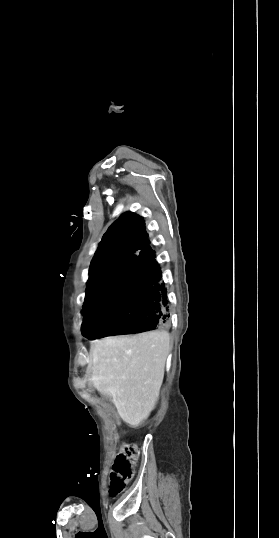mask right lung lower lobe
Returning a JSON list of instances; mask_svg holds the SVG:
<instances>
[{"mask_svg":"<svg viewBox=\"0 0 279 538\" xmlns=\"http://www.w3.org/2000/svg\"><path fill=\"white\" fill-rule=\"evenodd\" d=\"M143 217L124 213L103 235L90 265L82 334L98 339L170 325L167 290Z\"/></svg>","mask_w":279,"mask_h":538,"instance_id":"right-lung-lower-lobe-1","label":"right lung lower lobe"}]
</instances>
